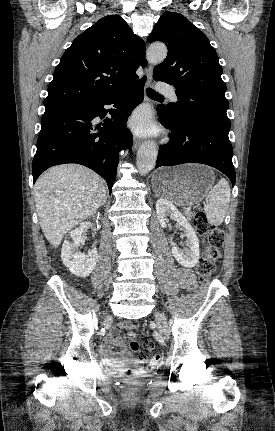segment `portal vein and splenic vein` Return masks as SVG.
Segmentation results:
<instances>
[{"mask_svg":"<svg viewBox=\"0 0 275 431\" xmlns=\"http://www.w3.org/2000/svg\"><path fill=\"white\" fill-rule=\"evenodd\" d=\"M183 209L185 213H189L191 210V206L184 207Z\"/></svg>","mask_w":275,"mask_h":431,"instance_id":"portal-vein-and-splenic-vein-1","label":"portal vein and splenic vein"}]
</instances>
